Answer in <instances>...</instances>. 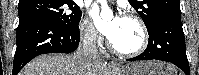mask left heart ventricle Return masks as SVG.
<instances>
[{"mask_svg":"<svg viewBox=\"0 0 199 75\" xmlns=\"http://www.w3.org/2000/svg\"><path fill=\"white\" fill-rule=\"evenodd\" d=\"M111 42L120 49L135 50L141 44V31L135 22L123 18Z\"/></svg>","mask_w":199,"mask_h":75,"instance_id":"obj_1","label":"left heart ventricle"}]
</instances>
